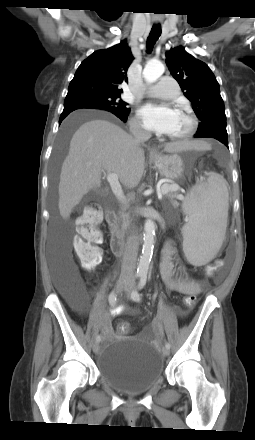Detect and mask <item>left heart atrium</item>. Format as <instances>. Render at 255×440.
<instances>
[{
	"mask_svg": "<svg viewBox=\"0 0 255 440\" xmlns=\"http://www.w3.org/2000/svg\"><path fill=\"white\" fill-rule=\"evenodd\" d=\"M139 115L145 127L160 134H170L173 131L177 110L158 104H146L139 110Z\"/></svg>",
	"mask_w": 255,
	"mask_h": 440,
	"instance_id": "1",
	"label": "left heart atrium"
}]
</instances>
